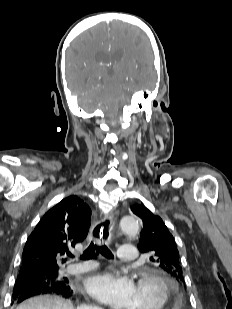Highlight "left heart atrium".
I'll return each instance as SVG.
<instances>
[{"mask_svg":"<svg viewBox=\"0 0 232 309\" xmlns=\"http://www.w3.org/2000/svg\"><path fill=\"white\" fill-rule=\"evenodd\" d=\"M87 293L99 302L115 309H132L136 284L128 276L106 271L91 277L86 283Z\"/></svg>","mask_w":232,"mask_h":309,"instance_id":"1","label":"left heart atrium"}]
</instances>
